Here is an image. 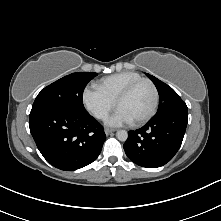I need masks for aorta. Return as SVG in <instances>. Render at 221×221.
<instances>
[{
	"label": "aorta",
	"mask_w": 221,
	"mask_h": 221,
	"mask_svg": "<svg viewBox=\"0 0 221 221\" xmlns=\"http://www.w3.org/2000/svg\"><path fill=\"white\" fill-rule=\"evenodd\" d=\"M116 137L120 141H126L128 138V133L125 130H118L116 133Z\"/></svg>",
	"instance_id": "762f6f07"
}]
</instances>
